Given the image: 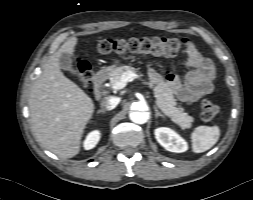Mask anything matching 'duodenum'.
<instances>
[{
	"label": "duodenum",
	"mask_w": 253,
	"mask_h": 200,
	"mask_svg": "<svg viewBox=\"0 0 253 200\" xmlns=\"http://www.w3.org/2000/svg\"><path fill=\"white\" fill-rule=\"evenodd\" d=\"M108 76V70L101 69L93 77V88L96 96H99V90L101 85L105 82Z\"/></svg>",
	"instance_id": "410a0bca"
}]
</instances>
